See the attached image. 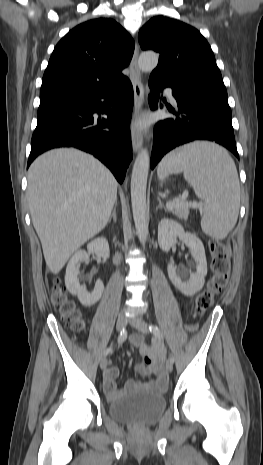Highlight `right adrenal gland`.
<instances>
[{"instance_id": "obj_1", "label": "right adrenal gland", "mask_w": 263, "mask_h": 465, "mask_svg": "<svg viewBox=\"0 0 263 465\" xmlns=\"http://www.w3.org/2000/svg\"><path fill=\"white\" fill-rule=\"evenodd\" d=\"M116 207H117V202H115V205H114V209H113V212L108 220V223L111 222V220L113 219L114 223H116L117 221V216H116Z\"/></svg>"}]
</instances>
